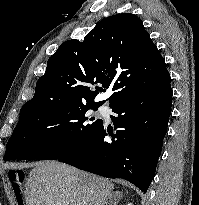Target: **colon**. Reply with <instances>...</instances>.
<instances>
[{
	"instance_id": "5ec220e1",
	"label": "colon",
	"mask_w": 199,
	"mask_h": 205,
	"mask_svg": "<svg viewBox=\"0 0 199 205\" xmlns=\"http://www.w3.org/2000/svg\"><path fill=\"white\" fill-rule=\"evenodd\" d=\"M23 179H24V173L22 171H16L10 174L12 188L15 192L21 191V185H22Z\"/></svg>"
}]
</instances>
